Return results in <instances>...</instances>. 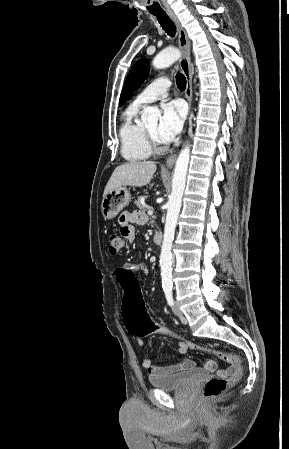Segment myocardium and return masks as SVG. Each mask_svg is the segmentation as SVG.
I'll return each mask as SVG.
<instances>
[{
    "mask_svg": "<svg viewBox=\"0 0 289 449\" xmlns=\"http://www.w3.org/2000/svg\"><path fill=\"white\" fill-rule=\"evenodd\" d=\"M144 133L150 150L155 153H162L166 150V146L162 144V142L158 141L149 130L144 127Z\"/></svg>",
    "mask_w": 289,
    "mask_h": 449,
    "instance_id": "obj_1",
    "label": "myocardium"
}]
</instances>
